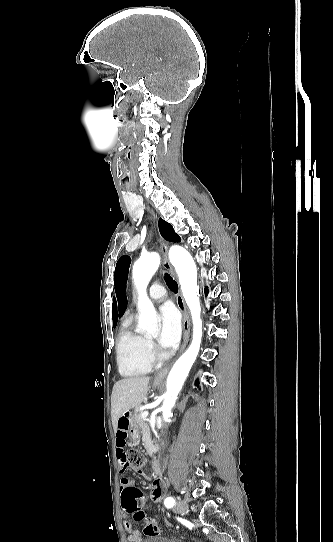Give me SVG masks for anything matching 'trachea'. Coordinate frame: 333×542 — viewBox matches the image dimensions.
Returning a JSON list of instances; mask_svg holds the SVG:
<instances>
[{
	"mask_svg": "<svg viewBox=\"0 0 333 542\" xmlns=\"http://www.w3.org/2000/svg\"><path fill=\"white\" fill-rule=\"evenodd\" d=\"M165 277V280L169 286V288L172 290V291H178V285L177 283L175 282V280L172 279V277L169 275V274H165L164 275Z\"/></svg>",
	"mask_w": 333,
	"mask_h": 542,
	"instance_id": "trachea-1",
	"label": "trachea"
}]
</instances>
